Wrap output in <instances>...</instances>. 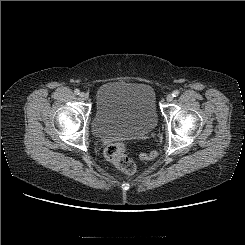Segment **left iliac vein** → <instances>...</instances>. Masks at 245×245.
I'll return each instance as SVG.
<instances>
[{"instance_id":"left-iliac-vein-1","label":"left iliac vein","mask_w":245,"mask_h":245,"mask_svg":"<svg viewBox=\"0 0 245 245\" xmlns=\"http://www.w3.org/2000/svg\"><path fill=\"white\" fill-rule=\"evenodd\" d=\"M166 100H167V102H171V101L173 100L172 94H168V95L166 96Z\"/></svg>"}]
</instances>
